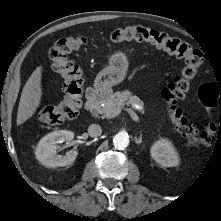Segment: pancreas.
Instances as JSON below:
<instances>
[{"instance_id":"pancreas-1","label":"pancreas","mask_w":221,"mask_h":221,"mask_svg":"<svg viewBox=\"0 0 221 221\" xmlns=\"http://www.w3.org/2000/svg\"><path fill=\"white\" fill-rule=\"evenodd\" d=\"M103 104L104 106L100 104L96 105L93 109V114H105L112 109H121L124 105L138 106L139 108L144 106L143 101L136 95H133L129 90L110 94V96L103 101Z\"/></svg>"}]
</instances>
